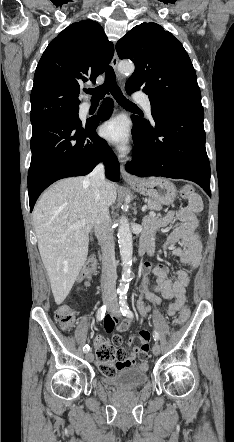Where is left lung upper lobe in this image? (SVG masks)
<instances>
[{"instance_id":"left-lung-upper-lobe-1","label":"left lung upper lobe","mask_w":234,"mask_h":442,"mask_svg":"<svg viewBox=\"0 0 234 442\" xmlns=\"http://www.w3.org/2000/svg\"><path fill=\"white\" fill-rule=\"evenodd\" d=\"M116 50L120 59L128 58L135 64L125 88L142 89L149 96L151 113L168 104L201 103L195 69L187 52L160 25L150 22L135 26L117 42Z\"/></svg>"}]
</instances>
